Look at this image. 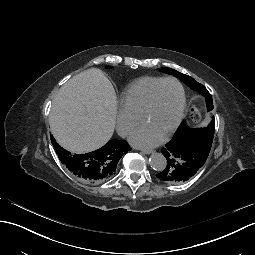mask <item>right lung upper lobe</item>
<instances>
[{"label": "right lung upper lobe", "mask_w": 255, "mask_h": 255, "mask_svg": "<svg viewBox=\"0 0 255 255\" xmlns=\"http://www.w3.org/2000/svg\"><path fill=\"white\" fill-rule=\"evenodd\" d=\"M51 141L59 159L68 170L77 178L89 183H101L111 178L116 172L119 159L131 150L125 140H110L98 150L85 154L71 155L70 152L58 145L53 137H51ZM85 155H92L100 159L99 177L90 180L83 177V157Z\"/></svg>", "instance_id": "obj_1"}]
</instances>
